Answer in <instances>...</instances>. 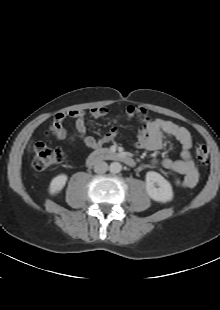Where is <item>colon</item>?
<instances>
[{
    "mask_svg": "<svg viewBox=\"0 0 220 310\" xmlns=\"http://www.w3.org/2000/svg\"><path fill=\"white\" fill-rule=\"evenodd\" d=\"M195 154L199 163L204 165L208 162L209 151L204 144L196 145ZM63 157V152L60 149L39 142L33 148L32 166L35 170L42 171L60 163Z\"/></svg>",
    "mask_w": 220,
    "mask_h": 310,
    "instance_id": "1",
    "label": "colon"
}]
</instances>
